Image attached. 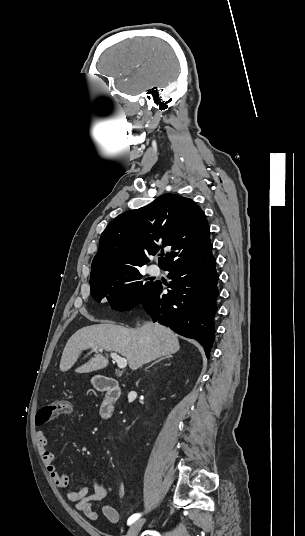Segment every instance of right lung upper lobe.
Wrapping results in <instances>:
<instances>
[{
  "label": "right lung upper lobe",
  "mask_w": 305,
  "mask_h": 536,
  "mask_svg": "<svg viewBox=\"0 0 305 536\" xmlns=\"http://www.w3.org/2000/svg\"><path fill=\"white\" fill-rule=\"evenodd\" d=\"M210 243L204 212L191 199L164 194L152 204L120 214L106 227L91 266L90 282L139 270L147 255L163 247L171 251L159 258L164 269L192 256Z\"/></svg>",
  "instance_id": "cb5924a9"
}]
</instances>
